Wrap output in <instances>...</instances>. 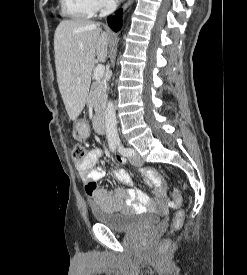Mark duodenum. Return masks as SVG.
I'll return each instance as SVG.
<instances>
[{"mask_svg": "<svg viewBox=\"0 0 247 275\" xmlns=\"http://www.w3.org/2000/svg\"><path fill=\"white\" fill-rule=\"evenodd\" d=\"M94 128L98 134H104L106 132V121L103 114H98L94 118Z\"/></svg>", "mask_w": 247, "mask_h": 275, "instance_id": "410a0bca", "label": "duodenum"}]
</instances>
